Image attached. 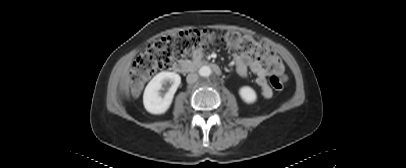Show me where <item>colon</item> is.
I'll use <instances>...</instances> for the list:
<instances>
[{"mask_svg":"<svg viewBox=\"0 0 406 168\" xmlns=\"http://www.w3.org/2000/svg\"><path fill=\"white\" fill-rule=\"evenodd\" d=\"M217 39L222 40L230 51L264 59L271 71L269 78L271 86L276 91L283 90L286 82L284 65L266 43L236 31L218 33L210 29L193 28L156 40L134 60L126 75V82L132 95H138L146 81L158 70L191 53L204 50Z\"/></svg>","mask_w":406,"mask_h":168,"instance_id":"1","label":"colon"}]
</instances>
